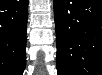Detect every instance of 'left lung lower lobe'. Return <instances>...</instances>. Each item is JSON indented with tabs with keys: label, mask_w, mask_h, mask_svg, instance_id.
Here are the masks:
<instances>
[{
	"label": "left lung lower lobe",
	"mask_w": 102,
	"mask_h": 75,
	"mask_svg": "<svg viewBox=\"0 0 102 75\" xmlns=\"http://www.w3.org/2000/svg\"><path fill=\"white\" fill-rule=\"evenodd\" d=\"M102 1L54 0L58 75H102Z\"/></svg>",
	"instance_id": "obj_1"
}]
</instances>
